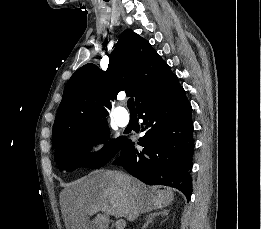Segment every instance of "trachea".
Masks as SVG:
<instances>
[{
	"instance_id": "obj_1",
	"label": "trachea",
	"mask_w": 261,
	"mask_h": 229,
	"mask_svg": "<svg viewBox=\"0 0 261 229\" xmlns=\"http://www.w3.org/2000/svg\"><path fill=\"white\" fill-rule=\"evenodd\" d=\"M127 106H128V109L130 110V112H135V102L132 97L130 99H128Z\"/></svg>"
}]
</instances>
